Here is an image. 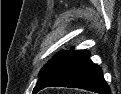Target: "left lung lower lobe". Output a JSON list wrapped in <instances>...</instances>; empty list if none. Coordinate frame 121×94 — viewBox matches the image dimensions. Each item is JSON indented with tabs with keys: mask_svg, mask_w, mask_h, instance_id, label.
<instances>
[{
	"mask_svg": "<svg viewBox=\"0 0 121 94\" xmlns=\"http://www.w3.org/2000/svg\"><path fill=\"white\" fill-rule=\"evenodd\" d=\"M89 57L90 53L86 50H77L65 56L41 76L33 94L50 86L81 88L100 94H111L102 70Z\"/></svg>",
	"mask_w": 121,
	"mask_h": 94,
	"instance_id": "obj_1",
	"label": "left lung lower lobe"
}]
</instances>
